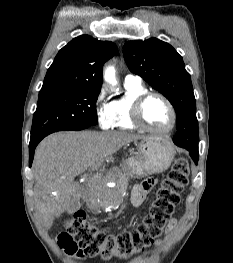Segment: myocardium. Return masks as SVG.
<instances>
[{
    "label": "myocardium",
    "instance_id": "obj_1",
    "mask_svg": "<svg viewBox=\"0 0 233 263\" xmlns=\"http://www.w3.org/2000/svg\"><path fill=\"white\" fill-rule=\"evenodd\" d=\"M152 97L160 98L166 104V106L168 107L171 113V123L165 129H156V128L151 127L146 122L143 116V109H144L145 103L148 101V99ZM131 115H132V121L137 127L153 132V133H158V134L169 133L170 131L173 130L177 122V113L171 101L162 93L154 92V91H147L136 98L132 106Z\"/></svg>",
    "mask_w": 233,
    "mask_h": 263
}]
</instances>
